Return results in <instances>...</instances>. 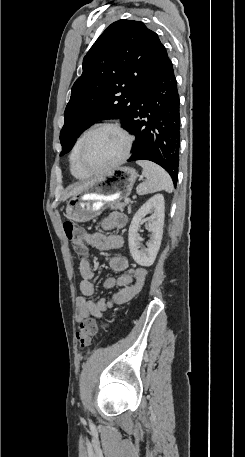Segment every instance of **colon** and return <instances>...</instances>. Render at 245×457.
Segmentation results:
<instances>
[{
	"instance_id": "1",
	"label": "colon",
	"mask_w": 245,
	"mask_h": 457,
	"mask_svg": "<svg viewBox=\"0 0 245 457\" xmlns=\"http://www.w3.org/2000/svg\"><path fill=\"white\" fill-rule=\"evenodd\" d=\"M63 229L75 253L79 256H85L88 248L84 240V232L70 221L64 222ZM105 326L104 323H99L94 318H87L81 321L76 332V338L80 346H88L100 328H105Z\"/></svg>"
}]
</instances>
